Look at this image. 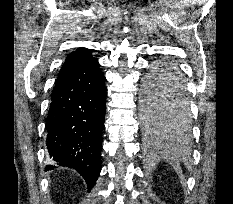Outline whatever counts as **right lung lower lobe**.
<instances>
[{
    "label": "right lung lower lobe",
    "instance_id": "98d812e1",
    "mask_svg": "<svg viewBox=\"0 0 233 204\" xmlns=\"http://www.w3.org/2000/svg\"><path fill=\"white\" fill-rule=\"evenodd\" d=\"M104 82L98 63L70 66L55 83L46 120L50 158L58 165L76 169L88 189L94 186L101 170ZM53 168L48 165L46 170Z\"/></svg>",
    "mask_w": 233,
    "mask_h": 204
}]
</instances>
